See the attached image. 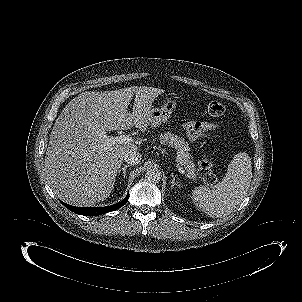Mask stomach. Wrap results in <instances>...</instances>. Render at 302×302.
Returning a JSON list of instances; mask_svg holds the SVG:
<instances>
[{
	"instance_id": "obj_1",
	"label": "stomach",
	"mask_w": 302,
	"mask_h": 302,
	"mask_svg": "<svg viewBox=\"0 0 302 302\" xmlns=\"http://www.w3.org/2000/svg\"><path fill=\"white\" fill-rule=\"evenodd\" d=\"M177 106L176 100L173 98H166L160 108H153L149 113V122L151 126H158L167 122L173 110Z\"/></svg>"
}]
</instances>
